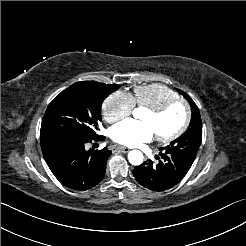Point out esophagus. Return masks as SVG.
<instances>
[{
  "instance_id": "34e87169",
  "label": "esophagus",
  "mask_w": 246,
  "mask_h": 246,
  "mask_svg": "<svg viewBox=\"0 0 246 246\" xmlns=\"http://www.w3.org/2000/svg\"><path fill=\"white\" fill-rule=\"evenodd\" d=\"M114 151H118V152H121V153H128L130 151L129 148L127 147H122V146H114L113 147Z\"/></svg>"
}]
</instances>
